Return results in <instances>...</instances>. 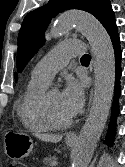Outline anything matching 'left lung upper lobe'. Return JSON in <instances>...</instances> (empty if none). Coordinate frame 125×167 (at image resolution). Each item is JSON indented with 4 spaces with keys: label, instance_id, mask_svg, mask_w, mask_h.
Returning a JSON list of instances; mask_svg holds the SVG:
<instances>
[{
    "label": "left lung upper lobe",
    "instance_id": "5c2ea615",
    "mask_svg": "<svg viewBox=\"0 0 125 167\" xmlns=\"http://www.w3.org/2000/svg\"><path fill=\"white\" fill-rule=\"evenodd\" d=\"M68 9H80L94 15L107 30L115 21L109 0H49L29 12L18 34L17 67L19 72L44 43V33L53 17Z\"/></svg>",
    "mask_w": 125,
    "mask_h": 167
}]
</instances>
